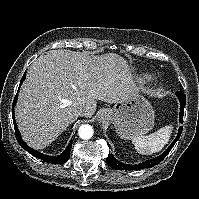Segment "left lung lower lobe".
<instances>
[{
    "label": "left lung lower lobe",
    "instance_id": "obj_1",
    "mask_svg": "<svg viewBox=\"0 0 199 199\" xmlns=\"http://www.w3.org/2000/svg\"><path fill=\"white\" fill-rule=\"evenodd\" d=\"M177 96H178L179 101H180L179 121H180V123H183V112H184V108H185V104H186V97H185V94L182 91H179L177 93ZM182 129H183L182 126L179 127L177 137L175 138L173 143L167 148V150L164 153H162L158 157L144 161V162L139 163V164L130 165V164H124V163L118 161L112 154H109L108 157L106 158V161H107L108 165L115 170H138V169H144V168H151V167L157 165L158 163H160L167 156V154L173 148L174 144L180 138V135L182 133Z\"/></svg>",
    "mask_w": 199,
    "mask_h": 199
}]
</instances>
